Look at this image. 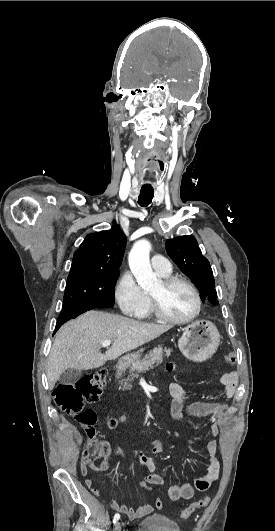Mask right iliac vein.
I'll list each match as a JSON object with an SVG mask.
<instances>
[{
    "mask_svg": "<svg viewBox=\"0 0 275 531\" xmlns=\"http://www.w3.org/2000/svg\"><path fill=\"white\" fill-rule=\"evenodd\" d=\"M114 531H121V526L119 523L115 524Z\"/></svg>",
    "mask_w": 275,
    "mask_h": 531,
    "instance_id": "right-iliac-vein-1",
    "label": "right iliac vein"
}]
</instances>
